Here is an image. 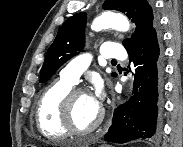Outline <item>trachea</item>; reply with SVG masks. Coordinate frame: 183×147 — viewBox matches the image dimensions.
Segmentation results:
<instances>
[{
    "label": "trachea",
    "instance_id": "1",
    "mask_svg": "<svg viewBox=\"0 0 183 147\" xmlns=\"http://www.w3.org/2000/svg\"><path fill=\"white\" fill-rule=\"evenodd\" d=\"M112 62H117L116 60H112Z\"/></svg>",
    "mask_w": 183,
    "mask_h": 147
}]
</instances>
